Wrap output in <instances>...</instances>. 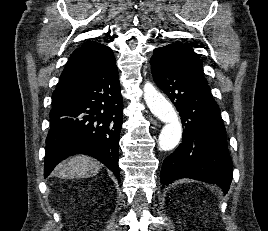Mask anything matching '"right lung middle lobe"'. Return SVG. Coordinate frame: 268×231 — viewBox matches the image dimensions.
Masks as SVG:
<instances>
[{"label": "right lung middle lobe", "instance_id": "dd1d6c3e", "mask_svg": "<svg viewBox=\"0 0 268 231\" xmlns=\"http://www.w3.org/2000/svg\"><path fill=\"white\" fill-rule=\"evenodd\" d=\"M74 94L73 90H62L53 92L52 95V106H58L66 102Z\"/></svg>", "mask_w": 268, "mask_h": 231}]
</instances>
